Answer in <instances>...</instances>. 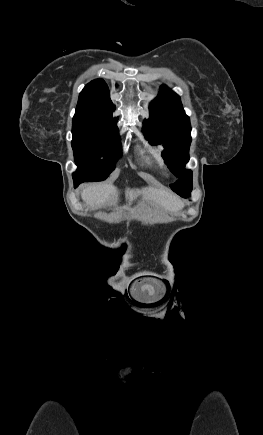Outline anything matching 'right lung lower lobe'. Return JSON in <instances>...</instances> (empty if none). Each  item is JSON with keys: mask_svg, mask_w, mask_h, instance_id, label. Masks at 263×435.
Wrapping results in <instances>:
<instances>
[{"mask_svg": "<svg viewBox=\"0 0 263 435\" xmlns=\"http://www.w3.org/2000/svg\"><path fill=\"white\" fill-rule=\"evenodd\" d=\"M80 183H82V182L81 181H74V188H77Z\"/></svg>", "mask_w": 263, "mask_h": 435, "instance_id": "right-lung-lower-lobe-1", "label": "right lung lower lobe"}]
</instances>
